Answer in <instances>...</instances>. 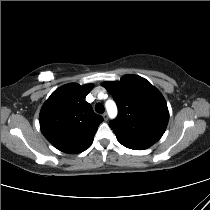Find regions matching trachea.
<instances>
[{
    "label": "trachea",
    "mask_w": 210,
    "mask_h": 210,
    "mask_svg": "<svg viewBox=\"0 0 210 210\" xmlns=\"http://www.w3.org/2000/svg\"><path fill=\"white\" fill-rule=\"evenodd\" d=\"M95 111H96L97 113H99V114L104 113V106H103V104L97 103V104L95 105Z\"/></svg>",
    "instance_id": "1"
}]
</instances>
